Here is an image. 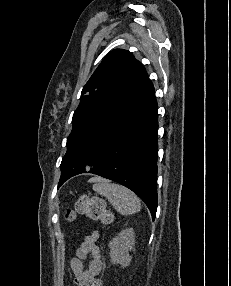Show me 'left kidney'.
<instances>
[{"mask_svg": "<svg viewBox=\"0 0 231 286\" xmlns=\"http://www.w3.org/2000/svg\"><path fill=\"white\" fill-rule=\"evenodd\" d=\"M135 244L133 228L122 230L109 243L110 258L113 264H120L123 268L128 266L131 261L129 250Z\"/></svg>", "mask_w": 231, "mask_h": 286, "instance_id": "left-kidney-1", "label": "left kidney"}]
</instances>
